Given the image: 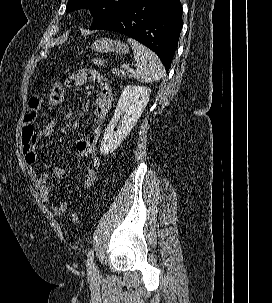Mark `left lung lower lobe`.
<instances>
[{"label": "left lung lower lobe", "mask_w": 272, "mask_h": 303, "mask_svg": "<svg viewBox=\"0 0 272 303\" xmlns=\"http://www.w3.org/2000/svg\"><path fill=\"white\" fill-rule=\"evenodd\" d=\"M180 0H138L96 29L125 34L154 51L169 71L182 29Z\"/></svg>", "instance_id": "1"}]
</instances>
